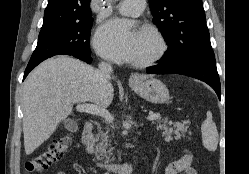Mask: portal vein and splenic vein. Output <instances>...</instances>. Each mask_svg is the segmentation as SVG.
I'll list each match as a JSON object with an SVG mask.
<instances>
[{"label": "portal vein and splenic vein", "mask_w": 249, "mask_h": 174, "mask_svg": "<svg viewBox=\"0 0 249 174\" xmlns=\"http://www.w3.org/2000/svg\"><path fill=\"white\" fill-rule=\"evenodd\" d=\"M76 110L78 112H83V113L101 116L109 123H111L113 121V117L108 110H106L105 108H101V107L94 105V104H87V103L86 104H79L76 106ZM159 118H160L159 113H150L149 116L147 117V119L149 121H153V120H156Z\"/></svg>", "instance_id": "portal-vein-and-splenic-vein-1"}]
</instances>
